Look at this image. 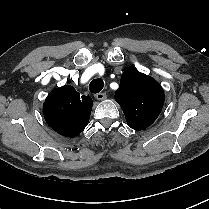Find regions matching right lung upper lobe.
I'll list each match as a JSON object with an SVG mask.
<instances>
[{
	"instance_id": "right-lung-upper-lobe-1",
	"label": "right lung upper lobe",
	"mask_w": 209,
	"mask_h": 209,
	"mask_svg": "<svg viewBox=\"0 0 209 209\" xmlns=\"http://www.w3.org/2000/svg\"><path fill=\"white\" fill-rule=\"evenodd\" d=\"M93 101L90 96H80L71 85L50 92L43 105L47 124L65 137L78 136L87 126Z\"/></svg>"
}]
</instances>
